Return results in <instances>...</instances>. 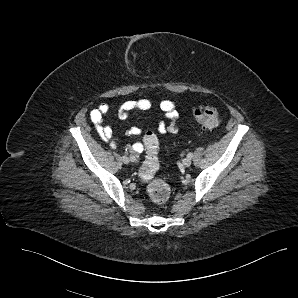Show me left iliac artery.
Wrapping results in <instances>:
<instances>
[{"label":"left iliac artery","mask_w":298,"mask_h":298,"mask_svg":"<svg viewBox=\"0 0 298 298\" xmlns=\"http://www.w3.org/2000/svg\"><path fill=\"white\" fill-rule=\"evenodd\" d=\"M187 157L192 158L193 154L192 153H188Z\"/></svg>","instance_id":"obj_1"}]
</instances>
